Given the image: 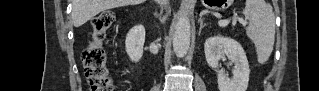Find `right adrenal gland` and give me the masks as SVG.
<instances>
[{
	"label": "right adrenal gland",
	"instance_id": "right-adrenal-gland-1",
	"mask_svg": "<svg viewBox=\"0 0 319 91\" xmlns=\"http://www.w3.org/2000/svg\"><path fill=\"white\" fill-rule=\"evenodd\" d=\"M168 14H169L168 10H166V14L164 16H162V11L158 13L157 10H155L154 12V16L158 18L161 23H164L166 21Z\"/></svg>",
	"mask_w": 319,
	"mask_h": 91
}]
</instances>
